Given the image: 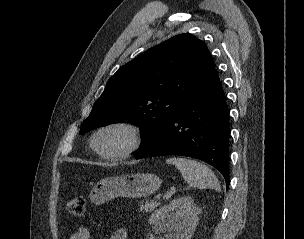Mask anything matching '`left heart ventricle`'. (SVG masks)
<instances>
[{"mask_svg": "<svg viewBox=\"0 0 304 239\" xmlns=\"http://www.w3.org/2000/svg\"><path fill=\"white\" fill-rule=\"evenodd\" d=\"M127 143V134L119 129H112L103 132L97 141L99 148L106 153L119 151L124 148Z\"/></svg>", "mask_w": 304, "mask_h": 239, "instance_id": "left-heart-ventricle-1", "label": "left heart ventricle"}]
</instances>
